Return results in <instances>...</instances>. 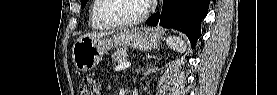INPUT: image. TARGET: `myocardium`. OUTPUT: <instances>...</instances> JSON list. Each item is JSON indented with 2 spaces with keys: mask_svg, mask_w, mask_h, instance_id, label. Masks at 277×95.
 Listing matches in <instances>:
<instances>
[{
  "mask_svg": "<svg viewBox=\"0 0 277 95\" xmlns=\"http://www.w3.org/2000/svg\"><path fill=\"white\" fill-rule=\"evenodd\" d=\"M108 1L109 0H101V4L98 6V8L95 11V16L98 20H100L105 25L110 27H121V26H130V25L139 24L143 20H145L148 14L150 13V5L148 3H145L143 12L135 18L120 19V18L108 17L103 12V9L105 8Z\"/></svg>",
  "mask_w": 277,
  "mask_h": 95,
  "instance_id": "1",
  "label": "myocardium"
}]
</instances>
